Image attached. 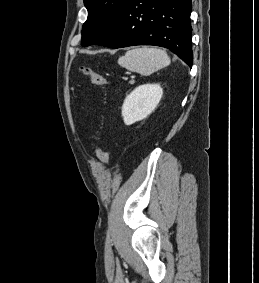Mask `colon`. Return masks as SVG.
<instances>
[{"instance_id":"5ec220e1","label":"colon","mask_w":259,"mask_h":283,"mask_svg":"<svg viewBox=\"0 0 259 283\" xmlns=\"http://www.w3.org/2000/svg\"><path fill=\"white\" fill-rule=\"evenodd\" d=\"M81 72L83 75H85L90 82L95 86H105L107 84L106 78L101 75L100 73L96 72L94 69H92L89 66H81ZM97 155L99 160L106 166L109 164V154L108 152L103 149L102 147H98L97 149Z\"/></svg>"}]
</instances>
